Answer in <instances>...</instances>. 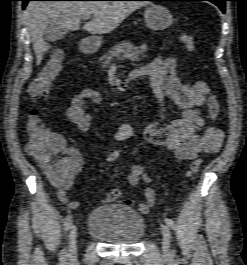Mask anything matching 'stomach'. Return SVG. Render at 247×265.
Here are the masks:
<instances>
[{
    "instance_id": "stomach-1",
    "label": "stomach",
    "mask_w": 247,
    "mask_h": 265,
    "mask_svg": "<svg viewBox=\"0 0 247 265\" xmlns=\"http://www.w3.org/2000/svg\"><path fill=\"white\" fill-rule=\"evenodd\" d=\"M144 19L147 27L151 30H163L168 28L174 21L170 11L157 4H151L144 12Z\"/></svg>"
}]
</instances>
